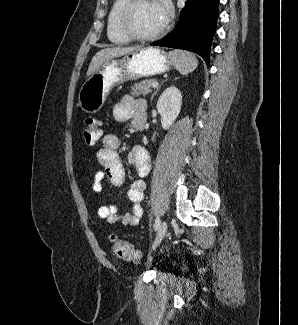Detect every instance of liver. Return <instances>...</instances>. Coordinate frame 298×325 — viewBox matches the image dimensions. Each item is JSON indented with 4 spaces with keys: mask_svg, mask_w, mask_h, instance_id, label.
Returning a JSON list of instances; mask_svg holds the SVG:
<instances>
[{
    "mask_svg": "<svg viewBox=\"0 0 298 325\" xmlns=\"http://www.w3.org/2000/svg\"><path fill=\"white\" fill-rule=\"evenodd\" d=\"M141 48L142 46H113V48H101V50H98V52L92 56L86 70L85 78H88L93 72H96L102 62H106V60H110V58H118V56H123V54H128V52H134V50H141Z\"/></svg>",
    "mask_w": 298,
    "mask_h": 325,
    "instance_id": "1",
    "label": "liver"
}]
</instances>
